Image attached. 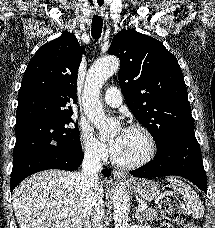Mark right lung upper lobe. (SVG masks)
I'll use <instances>...</instances> for the list:
<instances>
[{"instance_id": "obj_1", "label": "right lung upper lobe", "mask_w": 215, "mask_h": 228, "mask_svg": "<svg viewBox=\"0 0 215 228\" xmlns=\"http://www.w3.org/2000/svg\"><path fill=\"white\" fill-rule=\"evenodd\" d=\"M85 53L73 33L39 48L29 61L18 93L16 123L43 116L73 114L77 73Z\"/></svg>"}]
</instances>
